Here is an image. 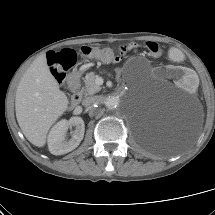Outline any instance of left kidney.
Returning <instances> with one entry per match:
<instances>
[{
	"label": "left kidney",
	"instance_id": "obj_1",
	"mask_svg": "<svg viewBox=\"0 0 215 215\" xmlns=\"http://www.w3.org/2000/svg\"><path fill=\"white\" fill-rule=\"evenodd\" d=\"M172 79L180 83L183 90L186 92H193L200 87V78L190 69L179 67L172 72Z\"/></svg>",
	"mask_w": 215,
	"mask_h": 215
}]
</instances>
